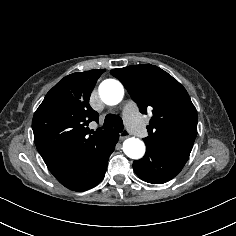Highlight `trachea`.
I'll return each instance as SVG.
<instances>
[{
  "label": "trachea",
  "mask_w": 236,
  "mask_h": 236,
  "mask_svg": "<svg viewBox=\"0 0 236 236\" xmlns=\"http://www.w3.org/2000/svg\"><path fill=\"white\" fill-rule=\"evenodd\" d=\"M112 127L115 128V130L121 132L123 131L124 125L121 117L114 116L112 114H108L104 119V129H111Z\"/></svg>",
  "instance_id": "3493384b"
}]
</instances>
